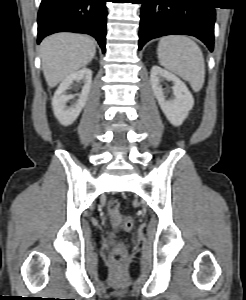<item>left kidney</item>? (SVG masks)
<instances>
[{"mask_svg":"<svg viewBox=\"0 0 246 300\" xmlns=\"http://www.w3.org/2000/svg\"><path fill=\"white\" fill-rule=\"evenodd\" d=\"M164 80L171 81L174 85L173 98L167 100L162 83ZM150 81L154 95L163 113L174 126H180L187 118L189 111L193 108L194 99L185 83L176 75L153 66L150 73Z\"/></svg>","mask_w":246,"mask_h":300,"instance_id":"obj_1","label":"left kidney"}]
</instances>
